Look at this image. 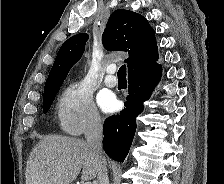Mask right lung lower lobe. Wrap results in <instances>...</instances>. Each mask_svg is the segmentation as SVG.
<instances>
[{"instance_id": "obj_1", "label": "right lung lower lobe", "mask_w": 224, "mask_h": 184, "mask_svg": "<svg viewBox=\"0 0 224 184\" xmlns=\"http://www.w3.org/2000/svg\"><path fill=\"white\" fill-rule=\"evenodd\" d=\"M161 70V65L156 63L128 75L126 107L119 115L107 118L103 125V148L112 159L123 162L127 156L136 131V117L143 111V102L149 99L159 82Z\"/></svg>"}]
</instances>
